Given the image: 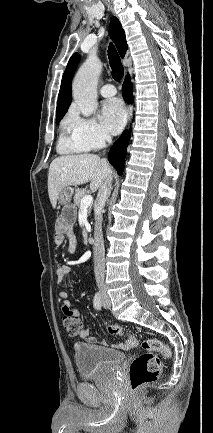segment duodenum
I'll return each instance as SVG.
<instances>
[{
	"label": "duodenum",
	"mask_w": 213,
	"mask_h": 433,
	"mask_svg": "<svg viewBox=\"0 0 213 433\" xmlns=\"http://www.w3.org/2000/svg\"><path fill=\"white\" fill-rule=\"evenodd\" d=\"M88 241H89L90 244H94L95 243L94 236H89Z\"/></svg>",
	"instance_id": "duodenum-1"
}]
</instances>
